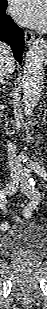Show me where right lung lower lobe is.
<instances>
[{"instance_id":"1","label":"right lung lower lobe","mask_w":47,"mask_h":309,"mask_svg":"<svg viewBox=\"0 0 47 309\" xmlns=\"http://www.w3.org/2000/svg\"><path fill=\"white\" fill-rule=\"evenodd\" d=\"M7 1L0 2V40L8 43L13 51L15 59L21 63L24 34L23 31L13 22L12 18L5 14Z\"/></svg>"}]
</instances>
